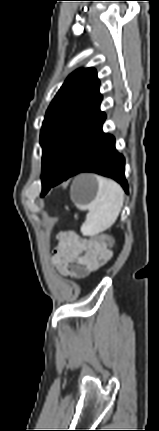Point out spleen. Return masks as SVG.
Instances as JSON below:
<instances>
[{
	"instance_id": "1",
	"label": "spleen",
	"mask_w": 159,
	"mask_h": 431,
	"mask_svg": "<svg viewBox=\"0 0 159 431\" xmlns=\"http://www.w3.org/2000/svg\"><path fill=\"white\" fill-rule=\"evenodd\" d=\"M96 177L99 185L96 198L87 206L77 205L80 209H88L81 226L84 235H96L109 229L117 220L124 203V191L118 183Z\"/></svg>"
}]
</instances>
